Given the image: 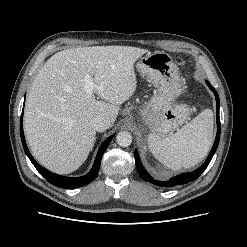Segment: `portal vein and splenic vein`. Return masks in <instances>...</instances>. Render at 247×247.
I'll use <instances>...</instances> for the list:
<instances>
[{
	"instance_id": "1",
	"label": "portal vein and splenic vein",
	"mask_w": 247,
	"mask_h": 247,
	"mask_svg": "<svg viewBox=\"0 0 247 247\" xmlns=\"http://www.w3.org/2000/svg\"><path fill=\"white\" fill-rule=\"evenodd\" d=\"M84 81H85L84 89L85 92L88 94H92L95 89L101 88L94 84L92 77L90 75H86Z\"/></svg>"
}]
</instances>
